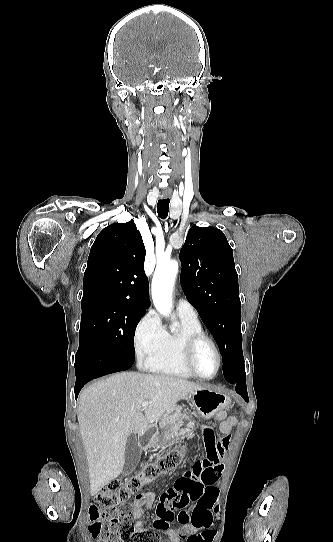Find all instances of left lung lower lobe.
Instances as JSON below:
<instances>
[{
  "mask_svg": "<svg viewBox=\"0 0 333 542\" xmlns=\"http://www.w3.org/2000/svg\"><path fill=\"white\" fill-rule=\"evenodd\" d=\"M226 381L235 386L237 393H239L245 401H248L247 387H246V374L245 372L236 374L231 377L225 378Z\"/></svg>",
  "mask_w": 333,
  "mask_h": 542,
  "instance_id": "obj_1",
  "label": "left lung lower lobe"
}]
</instances>
